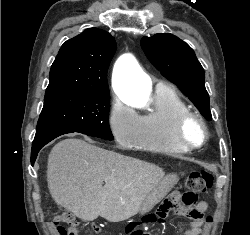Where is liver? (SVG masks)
<instances>
[{
  "instance_id": "6515ba94",
  "label": "liver",
  "mask_w": 250,
  "mask_h": 235,
  "mask_svg": "<svg viewBox=\"0 0 250 235\" xmlns=\"http://www.w3.org/2000/svg\"><path fill=\"white\" fill-rule=\"evenodd\" d=\"M164 174L154 164L74 138L57 143L47 163L52 198L84 221L98 216L110 222L127 220L139 212Z\"/></svg>"
}]
</instances>
